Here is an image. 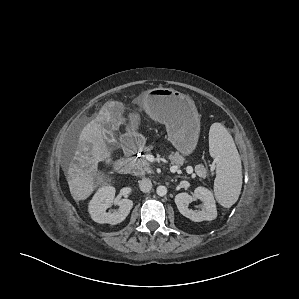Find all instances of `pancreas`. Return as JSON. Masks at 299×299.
<instances>
[{
  "mask_svg": "<svg viewBox=\"0 0 299 299\" xmlns=\"http://www.w3.org/2000/svg\"><path fill=\"white\" fill-rule=\"evenodd\" d=\"M151 148L146 149V154L150 153ZM169 159L171 161V164H175L178 167L182 166L185 162V159L183 156H181L178 152H171L169 155ZM132 168H133V174L136 176H144L146 174H152L153 171L150 168V163L145 159V157H142L140 159H132L131 160ZM195 171L199 175H204L206 170L202 165H197L195 167Z\"/></svg>",
  "mask_w": 299,
  "mask_h": 299,
  "instance_id": "obj_1",
  "label": "pancreas"
}]
</instances>
